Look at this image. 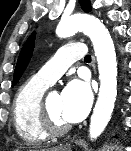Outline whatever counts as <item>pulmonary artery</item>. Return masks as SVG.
Wrapping results in <instances>:
<instances>
[{"label":"pulmonary artery","mask_w":131,"mask_h":151,"mask_svg":"<svg viewBox=\"0 0 131 151\" xmlns=\"http://www.w3.org/2000/svg\"><path fill=\"white\" fill-rule=\"evenodd\" d=\"M85 45L73 42L63 45L55 55L37 72L41 81L53 84L75 61L85 57Z\"/></svg>","instance_id":"e3ab8cb5"}]
</instances>
